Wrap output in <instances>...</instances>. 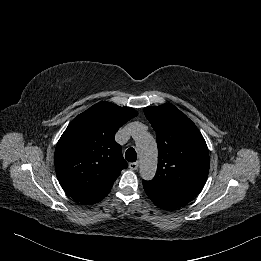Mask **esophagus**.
<instances>
[{
	"instance_id": "obj_1",
	"label": "esophagus",
	"mask_w": 261,
	"mask_h": 261,
	"mask_svg": "<svg viewBox=\"0 0 261 261\" xmlns=\"http://www.w3.org/2000/svg\"><path fill=\"white\" fill-rule=\"evenodd\" d=\"M138 166H139L138 162H132V163L129 164V168L131 170H137Z\"/></svg>"
}]
</instances>
